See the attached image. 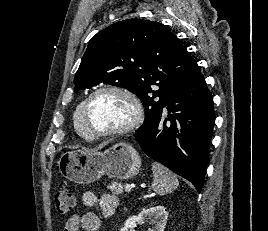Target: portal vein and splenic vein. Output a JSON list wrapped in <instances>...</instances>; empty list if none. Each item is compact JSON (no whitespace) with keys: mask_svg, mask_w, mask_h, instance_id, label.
Wrapping results in <instances>:
<instances>
[{"mask_svg":"<svg viewBox=\"0 0 268 231\" xmlns=\"http://www.w3.org/2000/svg\"><path fill=\"white\" fill-rule=\"evenodd\" d=\"M133 187H135V185H128V184H127V185L125 186V190H126V191H130Z\"/></svg>","mask_w":268,"mask_h":231,"instance_id":"18ae733b","label":"portal vein and splenic vein"}]
</instances>
